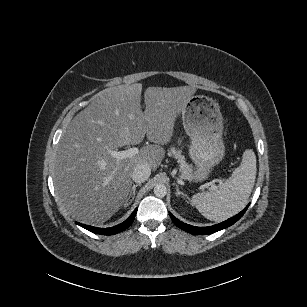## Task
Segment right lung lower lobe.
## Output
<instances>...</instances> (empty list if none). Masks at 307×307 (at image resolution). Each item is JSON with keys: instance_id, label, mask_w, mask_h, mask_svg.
<instances>
[{"instance_id": "right-lung-lower-lobe-1", "label": "right lung lower lobe", "mask_w": 307, "mask_h": 307, "mask_svg": "<svg viewBox=\"0 0 307 307\" xmlns=\"http://www.w3.org/2000/svg\"><path fill=\"white\" fill-rule=\"evenodd\" d=\"M136 213H137V209H135L133 211V213L129 216V218L127 220H125L123 223L116 225L114 227H111V228H96V227L84 225V224H81V223H77V224L82 226L83 228L93 232V233H96V234L113 235V234H117V233L125 230L126 228H128L132 224Z\"/></svg>"}]
</instances>
